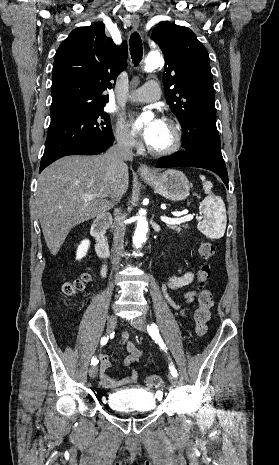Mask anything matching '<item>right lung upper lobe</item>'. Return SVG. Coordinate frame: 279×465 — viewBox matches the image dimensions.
Listing matches in <instances>:
<instances>
[{
  "label": "right lung upper lobe",
  "mask_w": 279,
  "mask_h": 465,
  "mask_svg": "<svg viewBox=\"0 0 279 465\" xmlns=\"http://www.w3.org/2000/svg\"><path fill=\"white\" fill-rule=\"evenodd\" d=\"M104 24L74 29L59 46L52 69L51 124L104 107L111 80L127 66V44H114Z\"/></svg>",
  "instance_id": "1"
}]
</instances>
